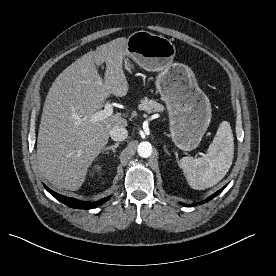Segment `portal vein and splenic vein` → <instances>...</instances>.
I'll return each mask as SVG.
<instances>
[{
    "label": "portal vein and splenic vein",
    "instance_id": "portal-vein-and-splenic-vein-1",
    "mask_svg": "<svg viewBox=\"0 0 276 276\" xmlns=\"http://www.w3.org/2000/svg\"><path fill=\"white\" fill-rule=\"evenodd\" d=\"M113 114V104L106 103L103 110L97 111L93 115L89 116L90 122H97L103 120Z\"/></svg>",
    "mask_w": 276,
    "mask_h": 276
}]
</instances>
